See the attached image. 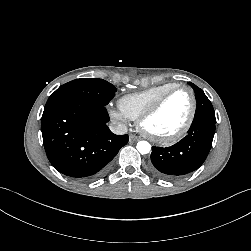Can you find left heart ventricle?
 Here are the masks:
<instances>
[{
	"label": "left heart ventricle",
	"mask_w": 251,
	"mask_h": 251,
	"mask_svg": "<svg viewBox=\"0 0 251 251\" xmlns=\"http://www.w3.org/2000/svg\"><path fill=\"white\" fill-rule=\"evenodd\" d=\"M191 111V96L186 90L173 93L159 111L145 122V128L155 136H168L177 132Z\"/></svg>",
	"instance_id": "obj_1"
}]
</instances>
